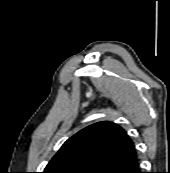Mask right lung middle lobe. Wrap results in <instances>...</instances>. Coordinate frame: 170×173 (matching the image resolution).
I'll return each mask as SVG.
<instances>
[{"label": "right lung middle lobe", "mask_w": 170, "mask_h": 173, "mask_svg": "<svg viewBox=\"0 0 170 173\" xmlns=\"http://www.w3.org/2000/svg\"><path fill=\"white\" fill-rule=\"evenodd\" d=\"M61 173H81V172L80 171L69 170V171H62Z\"/></svg>", "instance_id": "right-lung-middle-lobe-1"}]
</instances>
